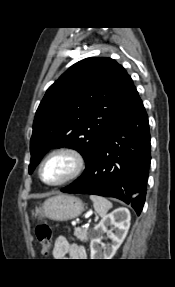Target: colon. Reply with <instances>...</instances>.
Listing matches in <instances>:
<instances>
[{
  "mask_svg": "<svg viewBox=\"0 0 175 287\" xmlns=\"http://www.w3.org/2000/svg\"><path fill=\"white\" fill-rule=\"evenodd\" d=\"M36 237L42 246L43 252L48 254L52 246V232L46 223H40L35 230Z\"/></svg>",
  "mask_w": 175,
  "mask_h": 287,
  "instance_id": "obj_1",
  "label": "colon"
}]
</instances>
